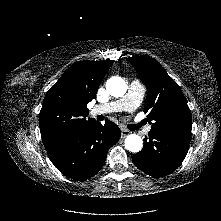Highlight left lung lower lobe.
Returning a JSON list of instances; mask_svg holds the SVG:
<instances>
[{"instance_id": "obj_1", "label": "left lung lower lobe", "mask_w": 221, "mask_h": 221, "mask_svg": "<svg viewBox=\"0 0 221 221\" xmlns=\"http://www.w3.org/2000/svg\"><path fill=\"white\" fill-rule=\"evenodd\" d=\"M189 139L150 131L144 139L143 149L132 159L135 165L153 177H163L176 170L183 162Z\"/></svg>"}]
</instances>
